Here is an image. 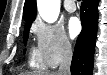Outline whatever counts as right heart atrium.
I'll return each mask as SVG.
<instances>
[{
	"label": "right heart atrium",
	"instance_id": "1",
	"mask_svg": "<svg viewBox=\"0 0 107 75\" xmlns=\"http://www.w3.org/2000/svg\"><path fill=\"white\" fill-rule=\"evenodd\" d=\"M37 53L47 67H56L72 55V44L62 26L36 20L32 25Z\"/></svg>",
	"mask_w": 107,
	"mask_h": 75
}]
</instances>
